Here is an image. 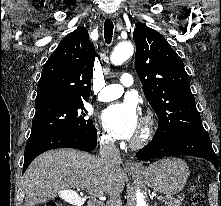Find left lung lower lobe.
Instances as JSON below:
<instances>
[{"label": "left lung lower lobe", "instance_id": "left-lung-lower-lobe-1", "mask_svg": "<svg viewBox=\"0 0 221 206\" xmlns=\"http://www.w3.org/2000/svg\"><path fill=\"white\" fill-rule=\"evenodd\" d=\"M189 155L209 160L217 169L220 162L217 161L210 138L201 134H185L170 138L152 140L137 153V158L142 161L164 156Z\"/></svg>", "mask_w": 221, "mask_h": 206}]
</instances>
